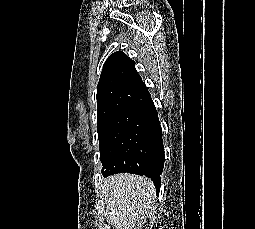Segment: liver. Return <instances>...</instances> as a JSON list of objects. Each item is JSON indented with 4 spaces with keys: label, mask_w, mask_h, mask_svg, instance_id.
Here are the masks:
<instances>
[{
    "label": "liver",
    "mask_w": 255,
    "mask_h": 229,
    "mask_svg": "<svg viewBox=\"0 0 255 229\" xmlns=\"http://www.w3.org/2000/svg\"><path fill=\"white\" fill-rule=\"evenodd\" d=\"M106 219L115 229H132L153 210L156 198L151 180L133 174L106 178L101 186Z\"/></svg>",
    "instance_id": "obj_1"
}]
</instances>
